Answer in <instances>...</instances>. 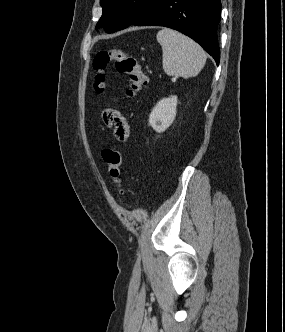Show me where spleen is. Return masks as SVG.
<instances>
[{
  "label": "spleen",
  "mask_w": 285,
  "mask_h": 332,
  "mask_svg": "<svg viewBox=\"0 0 285 332\" xmlns=\"http://www.w3.org/2000/svg\"><path fill=\"white\" fill-rule=\"evenodd\" d=\"M162 47L164 72L175 77H195L203 69L207 55L202 47L182 33L163 28L157 33Z\"/></svg>",
  "instance_id": "1"
}]
</instances>
